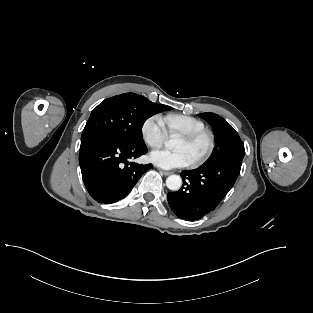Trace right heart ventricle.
Returning a JSON list of instances; mask_svg holds the SVG:
<instances>
[{"mask_svg":"<svg viewBox=\"0 0 313 313\" xmlns=\"http://www.w3.org/2000/svg\"><path fill=\"white\" fill-rule=\"evenodd\" d=\"M161 118L170 135H183L205 129L202 120L190 115L171 113Z\"/></svg>","mask_w":313,"mask_h":313,"instance_id":"1","label":"right heart ventricle"}]
</instances>
